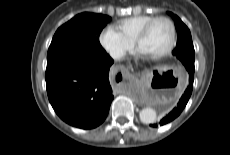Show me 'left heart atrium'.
Listing matches in <instances>:
<instances>
[{"instance_id":"left-heart-atrium-1","label":"left heart atrium","mask_w":230,"mask_h":155,"mask_svg":"<svg viewBox=\"0 0 230 155\" xmlns=\"http://www.w3.org/2000/svg\"><path fill=\"white\" fill-rule=\"evenodd\" d=\"M139 52L143 53L140 49H139Z\"/></svg>"}]
</instances>
